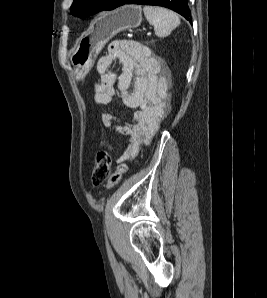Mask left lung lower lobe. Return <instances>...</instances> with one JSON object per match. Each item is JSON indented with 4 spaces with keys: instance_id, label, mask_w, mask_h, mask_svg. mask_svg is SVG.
<instances>
[{
    "instance_id": "obj_1",
    "label": "left lung lower lobe",
    "mask_w": 267,
    "mask_h": 298,
    "mask_svg": "<svg viewBox=\"0 0 267 298\" xmlns=\"http://www.w3.org/2000/svg\"><path fill=\"white\" fill-rule=\"evenodd\" d=\"M124 4L163 6L181 14L187 20H189V17L191 16L187 5V0H118L116 8Z\"/></svg>"
}]
</instances>
